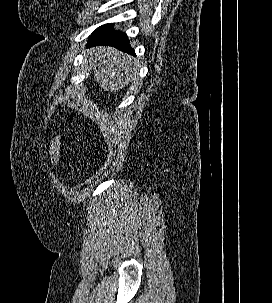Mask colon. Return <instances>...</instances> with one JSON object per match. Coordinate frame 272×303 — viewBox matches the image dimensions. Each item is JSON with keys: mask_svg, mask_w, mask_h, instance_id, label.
I'll return each mask as SVG.
<instances>
[{"mask_svg": "<svg viewBox=\"0 0 272 303\" xmlns=\"http://www.w3.org/2000/svg\"><path fill=\"white\" fill-rule=\"evenodd\" d=\"M50 162L53 166H55L58 163L59 160V143L56 138H53L50 144Z\"/></svg>", "mask_w": 272, "mask_h": 303, "instance_id": "5ec220e1", "label": "colon"}]
</instances>
